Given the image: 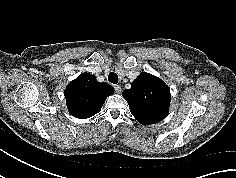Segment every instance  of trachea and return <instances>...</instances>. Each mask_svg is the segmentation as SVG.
<instances>
[{"instance_id":"trachea-1","label":"trachea","mask_w":236,"mask_h":178,"mask_svg":"<svg viewBox=\"0 0 236 178\" xmlns=\"http://www.w3.org/2000/svg\"><path fill=\"white\" fill-rule=\"evenodd\" d=\"M108 80H109V82H111L113 84H117L118 83V75L114 72H110L108 75Z\"/></svg>"}]
</instances>
